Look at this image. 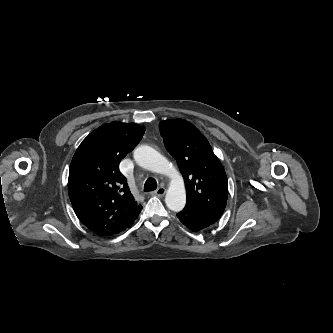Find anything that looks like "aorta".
<instances>
[{"instance_id": "aorta-1", "label": "aorta", "mask_w": 333, "mask_h": 333, "mask_svg": "<svg viewBox=\"0 0 333 333\" xmlns=\"http://www.w3.org/2000/svg\"><path fill=\"white\" fill-rule=\"evenodd\" d=\"M136 163L153 172L166 174L171 182L166 193L165 203L172 211H181L186 203V191L180 173L170 166L168 160L150 146H140L134 150Z\"/></svg>"}]
</instances>
